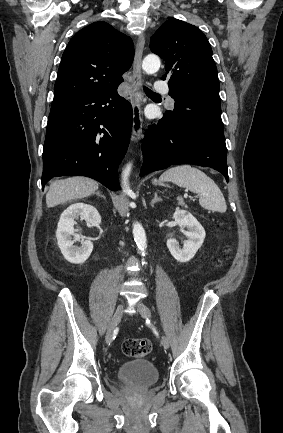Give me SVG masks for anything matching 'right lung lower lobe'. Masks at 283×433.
Segmentation results:
<instances>
[{"label":"right lung lower lobe","mask_w":283,"mask_h":433,"mask_svg":"<svg viewBox=\"0 0 283 433\" xmlns=\"http://www.w3.org/2000/svg\"><path fill=\"white\" fill-rule=\"evenodd\" d=\"M132 107L117 88L51 106L43 150L42 189L53 177L81 175L119 189L117 166L127 151Z\"/></svg>","instance_id":"right-lung-lower-lobe-1"}]
</instances>
